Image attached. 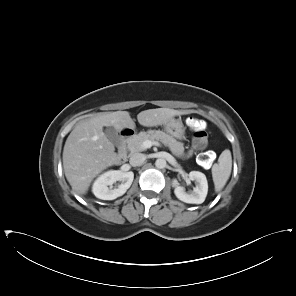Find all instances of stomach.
Here are the masks:
<instances>
[{
    "label": "stomach",
    "mask_w": 296,
    "mask_h": 296,
    "mask_svg": "<svg viewBox=\"0 0 296 296\" xmlns=\"http://www.w3.org/2000/svg\"><path fill=\"white\" fill-rule=\"evenodd\" d=\"M164 126L165 131L173 138H176L178 140L185 139L186 127L183 125L180 119H172L171 121L167 122Z\"/></svg>",
    "instance_id": "0dacf381"
}]
</instances>
